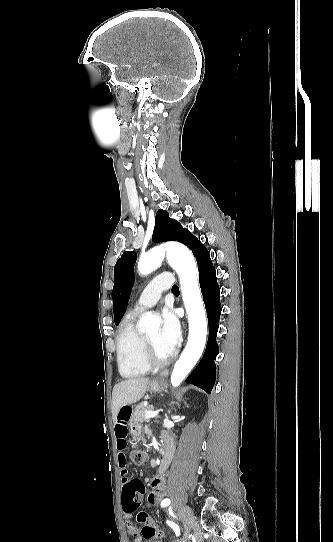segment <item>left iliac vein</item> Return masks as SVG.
I'll return each instance as SVG.
<instances>
[{
  "instance_id": "4c4485c4",
  "label": "left iliac vein",
  "mask_w": 333,
  "mask_h": 542,
  "mask_svg": "<svg viewBox=\"0 0 333 542\" xmlns=\"http://www.w3.org/2000/svg\"><path fill=\"white\" fill-rule=\"evenodd\" d=\"M178 513H179L180 517L182 518V520L184 521V528L186 530L185 537L181 542H186V539H187L190 531L195 526V517L193 515V512H192L191 508L188 507V506H182L181 508H179Z\"/></svg>"
}]
</instances>
